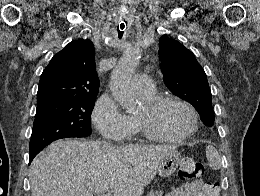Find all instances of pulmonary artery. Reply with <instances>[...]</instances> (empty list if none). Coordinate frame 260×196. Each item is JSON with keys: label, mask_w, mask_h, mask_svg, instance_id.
Instances as JSON below:
<instances>
[{"label": "pulmonary artery", "mask_w": 260, "mask_h": 196, "mask_svg": "<svg viewBox=\"0 0 260 196\" xmlns=\"http://www.w3.org/2000/svg\"><path fill=\"white\" fill-rule=\"evenodd\" d=\"M142 84H151L150 76H138V79H134L132 82V86L137 93L150 94L153 92L154 88L152 85Z\"/></svg>", "instance_id": "pulmonary-artery-1"}]
</instances>
